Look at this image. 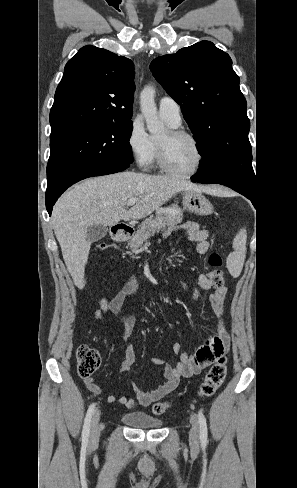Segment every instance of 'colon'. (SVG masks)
Masks as SVG:
<instances>
[{
    "label": "colon",
    "instance_id": "5ec220e1",
    "mask_svg": "<svg viewBox=\"0 0 297 488\" xmlns=\"http://www.w3.org/2000/svg\"><path fill=\"white\" fill-rule=\"evenodd\" d=\"M101 250L114 249V245L109 243H101L98 246ZM212 271L210 279L216 288H222L224 285L223 275L220 269L221 259L218 255L212 254L209 259ZM107 307L106 302L103 303ZM99 353L89 345H80L77 349V369L81 377L87 378L94 374L100 366ZM227 373V360L221 356L209 369L204 377V380L199 386L198 396L201 398H209L214 395L217 389L223 383ZM169 404L165 401L154 404L152 410L156 415H161L167 411Z\"/></svg>",
    "mask_w": 297,
    "mask_h": 488
}]
</instances>
